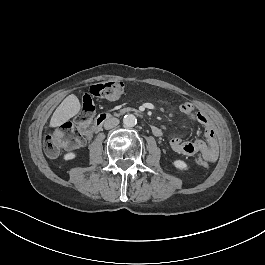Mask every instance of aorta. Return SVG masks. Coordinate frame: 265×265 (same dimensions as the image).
Wrapping results in <instances>:
<instances>
[{
	"mask_svg": "<svg viewBox=\"0 0 265 265\" xmlns=\"http://www.w3.org/2000/svg\"><path fill=\"white\" fill-rule=\"evenodd\" d=\"M123 123L127 127H134L137 124V118L133 114H127L123 118Z\"/></svg>",
	"mask_w": 265,
	"mask_h": 265,
	"instance_id": "762f6f07",
	"label": "aorta"
}]
</instances>
